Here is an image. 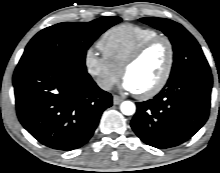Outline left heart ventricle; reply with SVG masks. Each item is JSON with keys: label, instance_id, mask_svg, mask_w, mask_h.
Wrapping results in <instances>:
<instances>
[{"label": "left heart ventricle", "instance_id": "left-heart-ventricle-1", "mask_svg": "<svg viewBox=\"0 0 220 173\" xmlns=\"http://www.w3.org/2000/svg\"><path fill=\"white\" fill-rule=\"evenodd\" d=\"M168 61V48L164 42L151 47L143 57L126 73L136 93H142L153 87L163 75Z\"/></svg>", "mask_w": 220, "mask_h": 173}]
</instances>
